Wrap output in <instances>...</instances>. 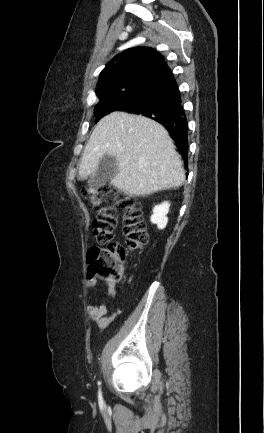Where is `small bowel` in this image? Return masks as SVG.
Wrapping results in <instances>:
<instances>
[{
    "label": "small bowel",
    "mask_w": 264,
    "mask_h": 433,
    "mask_svg": "<svg viewBox=\"0 0 264 433\" xmlns=\"http://www.w3.org/2000/svg\"><path fill=\"white\" fill-rule=\"evenodd\" d=\"M87 285L90 288L96 287V280L93 277H89ZM88 315L92 321H94L99 328H107L111 322L121 313L120 307H117L112 312L109 311L108 306L102 304H91L87 308Z\"/></svg>",
    "instance_id": "small-bowel-1"
}]
</instances>
